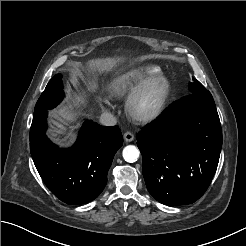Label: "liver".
<instances>
[{"instance_id": "1", "label": "liver", "mask_w": 246, "mask_h": 246, "mask_svg": "<svg viewBox=\"0 0 246 246\" xmlns=\"http://www.w3.org/2000/svg\"><path fill=\"white\" fill-rule=\"evenodd\" d=\"M125 60V57H106V58H97L91 59L84 63L83 67H85L88 71H105L110 70L115 67L118 63ZM85 99L83 93L73 94L71 101L65 105L60 106L55 113L65 122L72 123L77 118V113L74 111V108H78L84 105ZM51 122L54 126H56L57 130H52L49 132V135L53 138L59 139L61 134H71V131L68 128L54 120L51 119ZM63 140V139H62Z\"/></svg>"}]
</instances>
